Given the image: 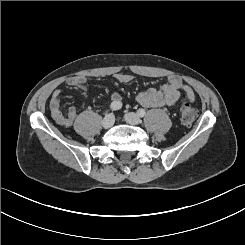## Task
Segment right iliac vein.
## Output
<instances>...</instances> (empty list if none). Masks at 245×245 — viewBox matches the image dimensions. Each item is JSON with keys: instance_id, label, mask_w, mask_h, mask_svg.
<instances>
[{"instance_id": "right-iliac-vein-1", "label": "right iliac vein", "mask_w": 245, "mask_h": 245, "mask_svg": "<svg viewBox=\"0 0 245 245\" xmlns=\"http://www.w3.org/2000/svg\"><path fill=\"white\" fill-rule=\"evenodd\" d=\"M113 124H114V116H113V114L106 115L105 118L102 121V126L105 129H108V128L112 127Z\"/></svg>"}]
</instances>
